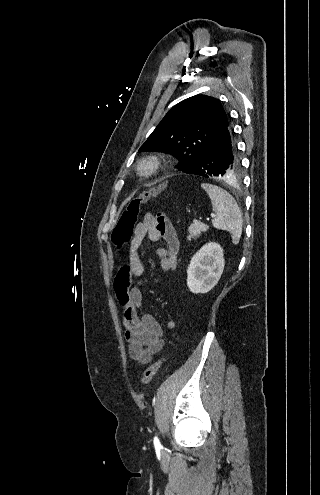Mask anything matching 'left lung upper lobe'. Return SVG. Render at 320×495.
Returning <instances> with one entry per match:
<instances>
[{
    "label": "left lung upper lobe",
    "instance_id": "5c2ea615",
    "mask_svg": "<svg viewBox=\"0 0 320 495\" xmlns=\"http://www.w3.org/2000/svg\"><path fill=\"white\" fill-rule=\"evenodd\" d=\"M228 122L217 99L196 95L169 110L139 151L170 153L179 160L176 168L183 171L195 163Z\"/></svg>",
    "mask_w": 320,
    "mask_h": 495
}]
</instances>
